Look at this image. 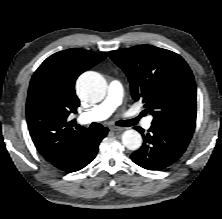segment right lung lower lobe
Masks as SVG:
<instances>
[{"mask_svg":"<svg viewBox=\"0 0 222 219\" xmlns=\"http://www.w3.org/2000/svg\"><path fill=\"white\" fill-rule=\"evenodd\" d=\"M107 133V128L90 130L78 143L71 157L59 169L71 173L87 166L95 158L98 146Z\"/></svg>","mask_w":222,"mask_h":219,"instance_id":"right-lung-lower-lobe-1","label":"right lung lower lobe"}]
</instances>
